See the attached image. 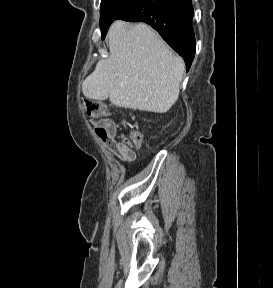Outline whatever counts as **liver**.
<instances>
[{
    "mask_svg": "<svg viewBox=\"0 0 273 288\" xmlns=\"http://www.w3.org/2000/svg\"><path fill=\"white\" fill-rule=\"evenodd\" d=\"M110 56L82 84L89 99L122 108L165 113L177 101L184 72L160 36L144 23L115 21L108 32Z\"/></svg>",
    "mask_w": 273,
    "mask_h": 288,
    "instance_id": "liver-1",
    "label": "liver"
}]
</instances>
